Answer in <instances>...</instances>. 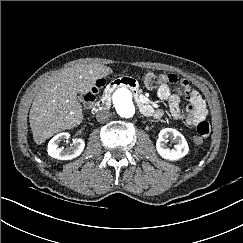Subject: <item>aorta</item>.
Instances as JSON below:
<instances>
[{
  "mask_svg": "<svg viewBox=\"0 0 243 243\" xmlns=\"http://www.w3.org/2000/svg\"><path fill=\"white\" fill-rule=\"evenodd\" d=\"M114 105L124 118H131L135 113V105L132 92L126 87L118 88L113 94Z\"/></svg>",
  "mask_w": 243,
  "mask_h": 243,
  "instance_id": "762f6f07",
  "label": "aorta"
}]
</instances>
